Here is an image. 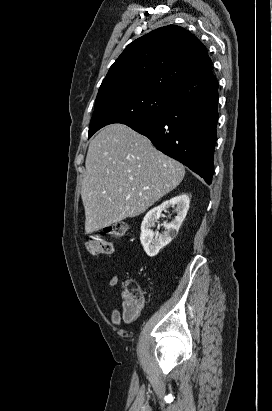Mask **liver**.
I'll list each match as a JSON object with an SVG mask.
<instances>
[{"mask_svg": "<svg viewBox=\"0 0 272 411\" xmlns=\"http://www.w3.org/2000/svg\"><path fill=\"white\" fill-rule=\"evenodd\" d=\"M81 197L85 231H98L145 212L176 188L184 166L124 124L103 128L89 144Z\"/></svg>", "mask_w": 272, "mask_h": 411, "instance_id": "1", "label": "liver"}]
</instances>
